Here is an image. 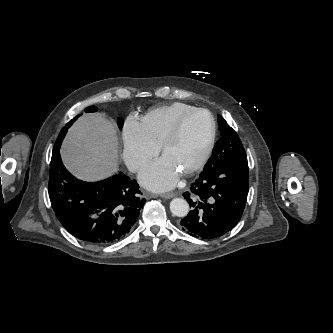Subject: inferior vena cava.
<instances>
[{
    "label": "inferior vena cava",
    "instance_id": "obj_1",
    "mask_svg": "<svg viewBox=\"0 0 333 333\" xmlns=\"http://www.w3.org/2000/svg\"><path fill=\"white\" fill-rule=\"evenodd\" d=\"M128 169H129L131 172H135V171H137V170L139 169V166H138L137 164L132 163V164H130V165L128 166Z\"/></svg>",
    "mask_w": 333,
    "mask_h": 333
}]
</instances>
